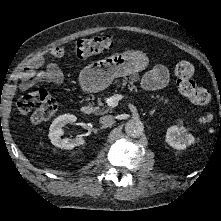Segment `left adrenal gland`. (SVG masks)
I'll use <instances>...</instances> for the list:
<instances>
[{
  "label": "left adrenal gland",
  "mask_w": 221,
  "mask_h": 221,
  "mask_svg": "<svg viewBox=\"0 0 221 221\" xmlns=\"http://www.w3.org/2000/svg\"><path fill=\"white\" fill-rule=\"evenodd\" d=\"M154 112H155V109L150 113V115H153L154 114Z\"/></svg>",
  "instance_id": "left-adrenal-gland-1"
}]
</instances>
